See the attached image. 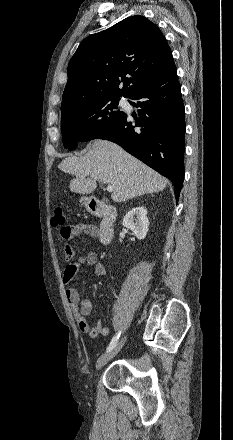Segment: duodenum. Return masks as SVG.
I'll return each instance as SVG.
<instances>
[{
  "instance_id": "duodenum-1",
  "label": "duodenum",
  "mask_w": 233,
  "mask_h": 440,
  "mask_svg": "<svg viewBox=\"0 0 233 440\" xmlns=\"http://www.w3.org/2000/svg\"><path fill=\"white\" fill-rule=\"evenodd\" d=\"M90 212L93 216L101 219L99 224L98 238L100 243L110 244L114 238V225L116 221V209L100 200H92Z\"/></svg>"
}]
</instances>
